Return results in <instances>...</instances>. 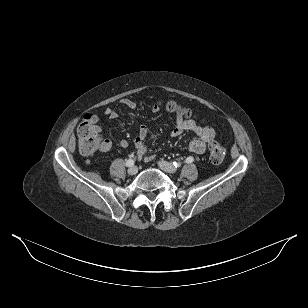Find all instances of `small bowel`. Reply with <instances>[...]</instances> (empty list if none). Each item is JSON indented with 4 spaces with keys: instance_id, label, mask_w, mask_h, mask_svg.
<instances>
[{
    "instance_id": "obj_1",
    "label": "small bowel",
    "mask_w": 308,
    "mask_h": 308,
    "mask_svg": "<svg viewBox=\"0 0 308 308\" xmlns=\"http://www.w3.org/2000/svg\"><path fill=\"white\" fill-rule=\"evenodd\" d=\"M121 107L128 109H135L136 103L130 99H123L120 102ZM152 110L154 112L158 111V106L153 105ZM104 115L109 119H116L118 117V112L116 109L107 108L104 110ZM96 121L100 124V120L97 116H94ZM184 132H189L194 135V138L189 143V149L194 154H203L206 150L207 143L212 140L215 136V131L210 126L199 125L194 120L184 119L182 115H176V123L172 129L170 135L171 137H178ZM148 135V128L145 125H140L134 135L133 142L136 147L137 156L139 159L149 161L153 158V155L147 149L145 140ZM111 141L109 139H102L100 141L98 151L107 152L111 148ZM119 148H126L128 146V141L122 139L117 142Z\"/></svg>"
}]
</instances>
